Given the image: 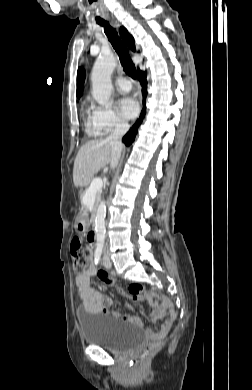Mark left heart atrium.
Segmentation results:
<instances>
[{"instance_id":"left-heart-atrium-1","label":"left heart atrium","mask_w":252,"mask_h":390,"mask_svg":"<svg viewBox=\"0 0 252 390\" xmlns=\"http://www.w3.org/2000/svg\"><path fill=\"white\" fill-rule=\"evenodd\" d=\"M120 112L126 119H134L139 113V104L133 97H124L119 102Z\"/></svg>"}]
</instances>
